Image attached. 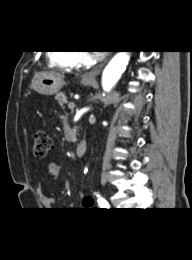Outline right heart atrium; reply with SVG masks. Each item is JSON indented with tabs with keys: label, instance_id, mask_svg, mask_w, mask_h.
<instances>
[{
	"label": "right heart atrium",
	"instance_id": "d8ad5b80",
	"mask_svg": "<svg viewBox=\"0 0 192 260\" xmlns=\"http://www.w3.org/2000/svg\"><path fill=\"white\" fill-rule=\"evenodd\" d=\"M89 60V56L86 52H77L76 61L78 64H85Z\"/></svg>",
	"mask_w": 192,
	"mask_h": 260
}]
</instances>
